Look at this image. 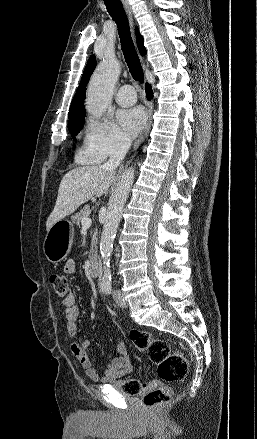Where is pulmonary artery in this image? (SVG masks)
Listing matches in <instances>:
<instances>
[{
    "label": "pulmonary artery",
    "mask_w": 257,
    "mask_h": 439,
    "mask_svg": "<svg viewBox=\"0 0 257 439\" xmlns=\"http://www.w3.org/2000/svg\"><path fill=\"white\" fill-rule=\"evenodd\" d=\"M116 101L123 106H129L136 102V93L132 86H122L116 95Z\"/></svg>",
    "instance_id": "1"
}]
</instances>
